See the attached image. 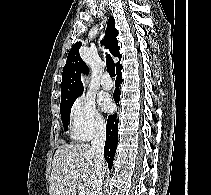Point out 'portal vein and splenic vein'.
Returning a JSON list of instances; mask_svg holds the SVG:
<instances>
[{"instance_id":"obj_1","label":"portal vein and splenic vein","mask_w":211,"mask_h":195,"mask_svg":"<svg viewBox=\"0 0 211 195\" xmlns=\"http://www.w3.org/2000/svg\"><path fill=\"white\" fill-rule=\"evenodd\" d=\"M86 191L82 185H79V195H85Z\"/></svg>"}]
</instances>
